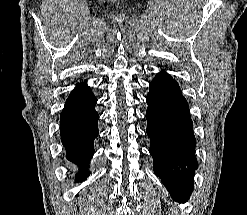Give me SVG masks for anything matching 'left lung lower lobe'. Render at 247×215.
Segmentation results:
<instances>
[{
  "label": "left lung lower lobe",
  "instance_id": "1",
  "mask_svg": "<svg viewBox=\"0 0 247 215\" xmlns=\"http://www.w3.org/2000/svg\"><path fill=\"white\" fill-rule=\"evenodd\" d=\"M146 111L154 172L175 201L185 202L198 167L196 139L188 103L178 83L165 71L150 83Z\"/></svg>",
  "mask_w": 247,
  "mask_h": 215
}]
</instances>
